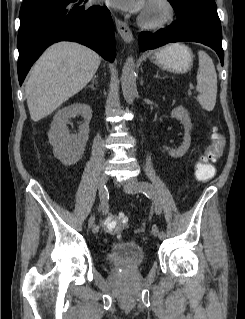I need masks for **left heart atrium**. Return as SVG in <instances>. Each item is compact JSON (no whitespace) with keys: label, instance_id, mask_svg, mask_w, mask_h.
<instances>
[{"label":"left heart atrium","instance_id":"1","mask_svg":"<svg viewBox=\"0 0 245 319\" xmlns=\"http://www.w3.org/2000/svg\"><path fill=\"white\" fill-rule=\"evenodd\" d=\"M107 3L117 9L128 12H140L146 7L145 0H106Z\"/></svg>","mask_w":245,"mask_h":319}]
</instances>
